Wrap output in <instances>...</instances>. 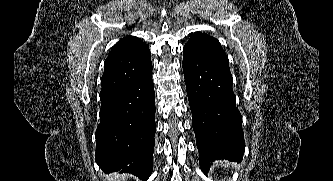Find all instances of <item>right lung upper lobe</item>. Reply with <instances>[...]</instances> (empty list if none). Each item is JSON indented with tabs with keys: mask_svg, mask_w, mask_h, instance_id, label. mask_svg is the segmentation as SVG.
Instances as JSON below:
<instances>
[{
	"mask_svg": "<svg viewBox=\"0 0 333 181\" xmlns=\"http://www.w3.org/2000/svg\"><path fill=\"white\" fill-rule=\"evenodd\" d=\"M151 73L150 50L146 44L137 37L123 38L105 60L100 99L143 80Z\"/></svg>",
	"mask_w": 333,
	"mask_h": 181,
	"instance_id": "cb5924a9",
	"label": "right lung upper lobe"
}]
</instances>
